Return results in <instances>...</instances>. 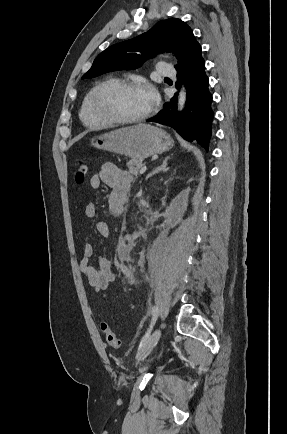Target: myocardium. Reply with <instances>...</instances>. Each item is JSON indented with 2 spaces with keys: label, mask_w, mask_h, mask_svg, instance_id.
Here are the masks:
<instances>
[{
  "label": "myocardium",
  "mask_w": 287,
  "mask_h": 434,
  "mask_svg": "<svg viewBox=\"0 0 287 434\" xmlns=\"http://www.w3.org/2000/svg\"><path fill=\"white\" fill-rule=\"evenodd\" d=\"M142 82L134 79H125V78H112L102 82L95 90L92 100H91V108L93 114L105 122L106 124L111 125H130L136 124L147 119L151 114V109L146 111L144 114L134 117V118H118L113 116L112 114L106 112L103 109L102 99L104 94L112 89V88H124V87H141Z\"/></svg>",
  "instance_id": "obj_1"
}]
</instances>
